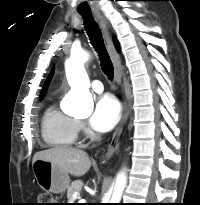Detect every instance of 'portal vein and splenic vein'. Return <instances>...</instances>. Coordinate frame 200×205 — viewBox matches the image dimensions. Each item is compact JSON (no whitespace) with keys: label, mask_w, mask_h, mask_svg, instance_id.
Segmentation results:
<instances>
[{"label":"portal vein and splenic vein","mask_w":200,"mask_h":205,"mask_svg":"<svg viewBox=\"0 0 200 205\" xmlns=\"http://www.w3.org/2000/svg\"><path fill=\"white\" fill-rule=\"evenodd\" d=\"M77 198H80V193L79 192H75L73 195H72V199L71 200H76Z\"/></svg>","instance_id":"18ae733b"}]
</instances>
